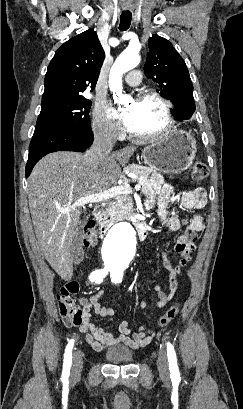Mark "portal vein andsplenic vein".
I'll return each instance as SVG.
<instances>
[{"mask_svg": "<svg viewBox=\"0 0 243 409\" xmlns=\"http://www.w3.org/2000/svg\"><path fill=\"white\" fill-rule=\"evenodd\" d=\"M140 188H141L140 184L135 185V190L136 191L140 190ZM132 192H133L132 188L127 183L124 184V185H121V186H115V187L107 189V190H105L103 192H99V193H96V194H92V195H88V196H85L83 198H80L79 200H77L70 207L65 208V209H60V212L68 213L71 210H73V209H75L77 207L84 206L85 204H88V203L102 202V201L108 200V199H110V198H112L114 196H117L119 194H131Z\"/></svg>", "mask_w": 243, "mask_h": 409, "instance_id": "1", "label": "portal vein and splenic vein"}]
</instances>
